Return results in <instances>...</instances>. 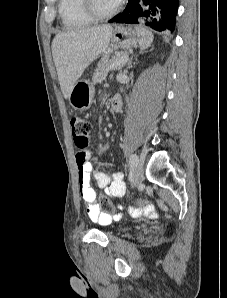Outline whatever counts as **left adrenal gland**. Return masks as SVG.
<instances>
[{"instance_id":"a2214340","label":"left adrenal gland","mask_w":227,"mask_h":298,"mask_svg":"<svg viewBox=\"0 0 227 298\" xmlns=\"http://www.w3.org/2000/svg\"><path fill=\"white\" fill-rule=\"evenodd\" d=\"M142 53H143V51L141 50V51H140V54H142ZM133 57H135V59H136V58H137V55H133V56L130 57V59H129V61L127 62V65H126L127 67H130V66H131Z\"/></svg>"}]
</instances>
